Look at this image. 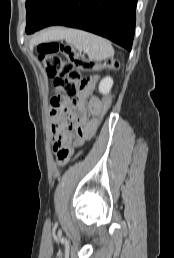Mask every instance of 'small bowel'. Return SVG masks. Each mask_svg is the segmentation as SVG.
Returning <instances> with one entry per match:
<instances>
[{"instance_id": "c3829d8e", "label": "small bowel", "mask_w": 174, "mask_h": 258, "mask_svg": "<svg viewBox=\"0 0 174 258\" xmlns=\"http://www.w3.org/2000/svg\"><path fill=\"white\" fill-rule=\"evenodd\" d=\"M98 81L97 76L85 79L76 101H71L65 96L54 97L50 101L51 131L55 158L59 164L68 162L76 146L82 145L90 139L96 131V118H85L84 99L87 94H96L92 87ZM101 96H90L87 117H98L101 109ZM72 106H75L76 115Z\"/></svg>"}]
</instances>
